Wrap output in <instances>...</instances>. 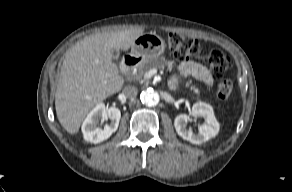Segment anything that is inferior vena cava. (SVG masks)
I'll use <instances>...</instances> for the list:
<instances>
[{
  "instance_id": "602c4592",
  "label": "inferior vena cava",
  "mask_w": 292,
  "mask_h": 192,
  "mask_svg": "<svg viewBox=\"0 0 292 192\" xmlns=\"http://www.w3.org/2000/svg\"><path fill=\"white\" fill-rule=\"evenodd\" d=\"M138 89L135 86H127L123 89V95L128 99H133L137 96Z\"/></svg>"
}]
</instances>
